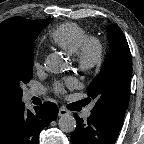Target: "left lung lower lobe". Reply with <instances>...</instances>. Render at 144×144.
Returning <instances> with one entry per match:
<instances>
[{"instance_id": "0a47b994", "label": "left lung lower lobe", "mask_w": 144, "mask_h": 144, "mask_svg": "<svg viewBox=\"0 0 144 144\" xmlns=\"http://www.w3.org/2000/svg\"><path fill=\"white\" fill-rule=\"evenodd\" d=\"M77 122L75 131L71 136V144H114L122 123L91 111V115L84 122L74 113Z\"/></svg>"}]
</instances>
